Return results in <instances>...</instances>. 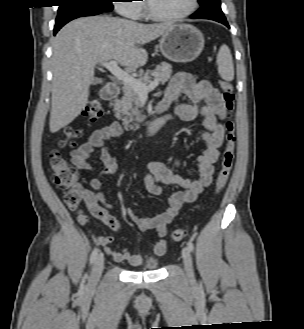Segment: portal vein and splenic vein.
Instances as JSON below:
<instances>
[{"instance_id":"obj_1","label":"portal vein and splenic vein","mask_w":304,"mask_h":329,"mask_svg":"<svg viewBox=\"0 0 304 329\" xmlns=\"http://www.w3.org/2000/svg\"><path fill=\"white\" fill-rule=\"evenodd\" d=\"M101 65L106 68L112 75H114L123 84L131 86L139 96H146L151 90L156 88L159 84V79H155L146 85L121 69L114 60L102 62Z\"/></svg>"}]
</instances>
